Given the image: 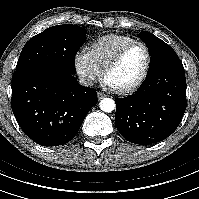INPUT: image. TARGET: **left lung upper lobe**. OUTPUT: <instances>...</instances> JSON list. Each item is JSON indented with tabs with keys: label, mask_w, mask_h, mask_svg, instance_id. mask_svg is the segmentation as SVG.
Segmentation results:
<instances>
[{
	"label": "left lung upper lobe",
	"mask_w": 199,
	"mask_h": 199,
	"mask_svg": "<svg viewBox=\"0 0 199 199\" xmlns=\"http://www.w3.org/2000/svg\"><path fill=\"white\" fill-rule=\"evenodd\" d=\"M139 37L146 43L151 55L149 73L165 62L178 58L176 52L150 32L142 31Z\"/></svg>",
	"instance_id": "1"
}]
</instances>
